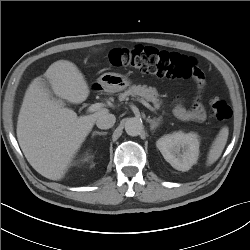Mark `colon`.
<instances>
[{
  "mask_svg": "<svg viewBox=\"0 0 250 250\" xmlns=\"http://www.w3.org/2000/svg\"><path fill=\"white\" fill-rule=\"evenodd\" d=\"M109 62L115 67H133L140 72L172 79H192L203 87V74L193 57L162 51L149 46H135L113 49ZM213 116L220 122L232 117L230 105L223 99L213 98L210 102Z\"/></svg>",
  "mask_w": 250,
  "mask_h": 250,
  "instance_id": "obj_1",
  "label": "colon"
}]
</instances>
